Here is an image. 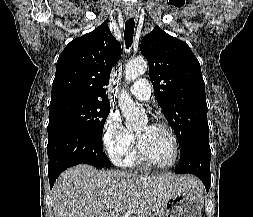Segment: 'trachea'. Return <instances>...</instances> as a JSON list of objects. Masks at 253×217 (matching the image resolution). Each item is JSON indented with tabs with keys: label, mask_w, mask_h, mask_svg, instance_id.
<instances>
[{
	"label": "trachea",
	"mask_w": 253,
	"mask_h": 217,
	"mask_svg": "<svg viewBox=\"0 0 253 217\" xmlns=\"http://www.w3.org/2000/svg\"><path fill=\"white\" fill-rule=\"evenodd\" d=\"M134 26L135 23L133 18H130L126 21L124 39L127 49L132 45L133 42Z\"/></svg>",
	"instance_id": "1"
}]
</instances>
